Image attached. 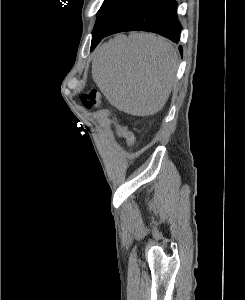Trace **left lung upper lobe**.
<instances>
[{
    "mask_svg": "<svg viewBox=\"0 0 245 300\" xmlns=\"http://www.w3.org/2000/svg\"><path fill=\"white\" fill-rule=\"evenodd\" d=\"M142 0H104L93 32L105 33L127 10Z\"/></svg>",
    "mask_w": 245,
    "mask_h": 300,
    "instance_id": "1",
    "label": "left lung upper lobe"
}]
</instances>
